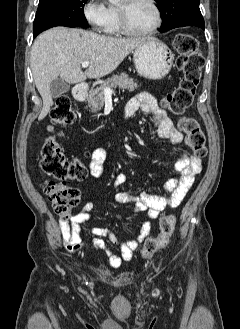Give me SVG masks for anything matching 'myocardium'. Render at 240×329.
Listing matches in <instances>:
<instances>
[{
	"instance_id": "f54148a6",
	"label": "myocardium",
	"mask_w": 240,
	"mask_h": 329,
	"mask_svg": "<svg viewBox=\"0 0 240 329\" xmlns=\"http://www.w3.org/2000/svg\"><path fill=\"white\" fill-rule=\"evenodd\" d=\"M124 1L127 4L134 2V0H124ZM148 2L150 3V5L153 7L155 11L156 20L155 23L150 28L140 31L134 30L130 27L126 13V8L120 5L117 7L120 29L123 34L128 36H134V37L148 36L155 33L161 27L163 22V16L158 3L156 2V0H148Z\"/></svg>"
}]
</instances>
